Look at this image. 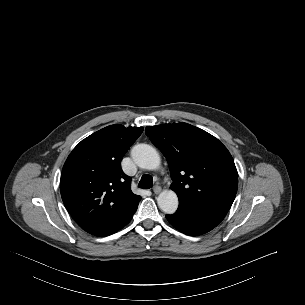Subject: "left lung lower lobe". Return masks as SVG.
Wrapping results in <instances>:
<instances>
[{"label": "left lung lower lobe", "mask_w": 305, "mask_h": 305, "mask_svg": "<svg viewBox=\"0 0 305 305\" xmlns=\"http://www.w3.org/2000/svg\"><path fill=\"white\" fill-rule=\"evenodd\" d=\"M231 205L207 204L188 205L179 203L178 210L166 215L167 220L180 232L187 235H201L215 228L225 217Z\"/></svg>", "instance_id": "obj_1"}]
</instances>
